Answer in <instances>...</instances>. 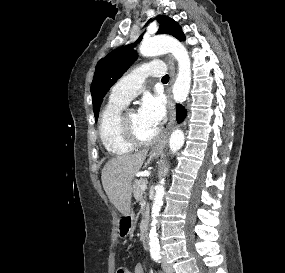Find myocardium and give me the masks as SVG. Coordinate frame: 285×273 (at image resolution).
I'll list each match as a JSON object with an SVG mask.
<instances>
[{
    "label": "myocardium",
    "instance_id": "1",
    "mask_svg": "<svg viewBox=\"0 0 285 273\" xmlns=\"http://www.w3.org/2000/svg\"><path fill=\"white\" fill-rule=\"evenodd\" d=\"M126 114L124 113L120 116V131L123 136V138L131 145L133 146H149L156 141H158L162 135V131L160 129L157 130L156 134L149 138V139H141L138 137L134 129L131 127V125L128 123L126 119Z\"/></svg>",
    "mask_w": 285,
    "mask_h": 273
}]
</instances>
